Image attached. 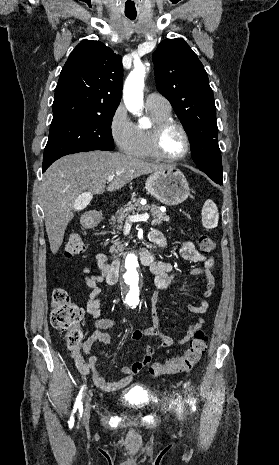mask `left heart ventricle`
Segmentation results:
<instances>
[{
	"mask_svg": "<svg viewBox=\"0 0 279 465\" xmlns=\"http://www.w3.org/2000/svg\"><path fill=\"white\" fill-rule=\"evenodd\" d=\"M160 147L167 156L179 155L184 149V139L181 131L175 126L167 128L162 134Z\"/></svg>",
	"mask_w": 279,
	"mask_h": 465,
	"instance_id": "b2bd125f",
	"label": "left heart ventricle"
}]
</instances>
